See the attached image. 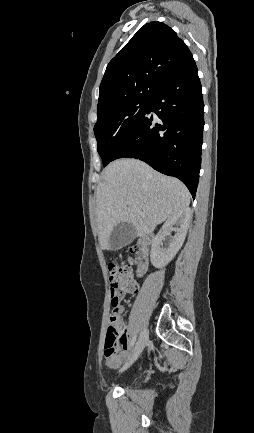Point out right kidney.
Instances as JSON below:
<instances>
[{
	"label": "right kidney",
	"instance_id": "1",
	"mask_svg": "<svg viewBox=\"0 0 254 433\" xmlns=\"http://www.w3.org/2000/svg\"><path fill=\"white\" fill-rule=\"evenodd\" d=\"M191 219V211L189 208L180 210L174 213L162 227V230L156 235L151 248V262L154 267L162 268L167 265L182 247L185 240L188 226ZM177 227L173 228V225ZM174 231L175 235L168 249L162 248V241L168 231Z\"/></svg>",
	"mask_w": 254,
	"mask_h": 433
}]
</instances>
